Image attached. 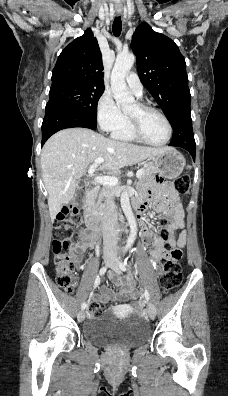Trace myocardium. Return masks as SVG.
<instances>
[{"instance_id": "f54148a6", "label": "myocardium", "mask_w": 228, "mask_h": 396, "mask_svg": "<svg viewBox=\"0 0 228 396\" xmlns=\"http://www.w3.org/2000/svg\"><path fill=\"white\" fill-rule=\"evenodd\" d=\"M138 106L142 111L154 112V113L158 114L163 119V121L166 124V128H167V137L163 142H160V143H153V142L148 141L142 134L137 122L131 116H129L130 129H131L133 135L136 137V139H138L142 143L150 145V146L163 147V146L167 145L170 142V140L172 138V134H173L172 125H171L168 117L160 109H158L152 105H149L146 103H138Z\"/></svg>"}]
</instances>
